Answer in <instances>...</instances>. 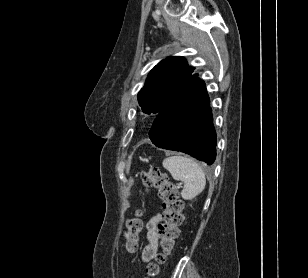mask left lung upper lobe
<instances>
[{
	"label": "left lung upper lobe",
	"mask_w": 308,
	"mask_h": 278,
	"mask_svg": "<svg viewBox=\"0 0 308 278\" xmlns=\"http://www.w3.org/2000/svg\"><path fill=\"white\" fill-rule=\"evenodd\" d=\"M193 72L194 67L187 66L184 57H168L159 62L138 93L142 111L156 116L193 76Z\"/></svg>",
	"instance_id": "1"
}]
</instances>
